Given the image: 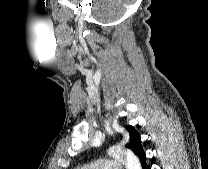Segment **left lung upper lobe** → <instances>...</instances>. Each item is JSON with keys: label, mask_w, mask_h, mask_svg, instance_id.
<instances>
[{"label": "left lung upper lobe", "mask_w": 208, "mask_h": 169, "mask_svg": "<svg viewBox=\"0 0 208 169\" xmlns=\"http://www.w3.org/2000/svg\"><path fill=\"white\" fill-rule=\"evenodd\" d=\"M126 130L130 135V141L126 144V147L131 149L138 156V154L143 151L140 134L131 125L126 126Z\"/></svg>", "instance_id": "5c2ea615"}]
</instances>
